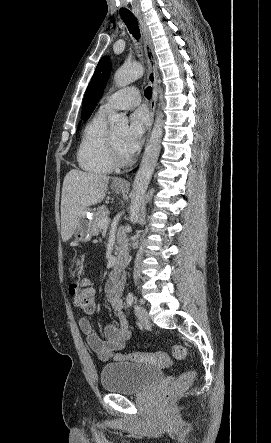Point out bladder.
I'll return each mask as SVG.
<instances>
[{
  "label": "bladder",
  "mask_w": 271,
  "mask_h": 443,
  "mask_svg": "<svg viewBox=\"0 0 271 443\" xmlns=\"http://www.w3.org/2000/svg\"><path fill=\"white\" fill-rule=\"evenodd\" d=\"M163 372L153 366L115 362L103 366L100 374L102 388L114 394H133L145 391L163 379Z\"/></svg>",
  "instance_id": "bladder-1"
}]
</instances>
